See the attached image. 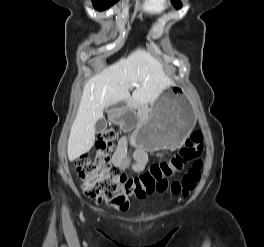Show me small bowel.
I'll return each mask as SVG.
<instances>
[{"mask_svg": "<svg viewBox=\"0 0 264 247\" xmlns=\"http://www.w3.org/2000/svg\"><path fill=\"white\" fill-rule=\"evenodd\" d=\"M127 152H128V139L126 137H123L119 141L112 158V162L116 167L126 168L129 166ZM133 158H134V163L132 169L135 172L142 171L148 160L146 152L144 150L137 149L133 153Z\"/></svg>", "mask_w": 264, "mask_h": 247, "instance_id": "c3829d8e", "label": "small bowel"}]
</instances>
